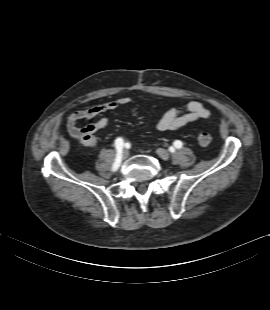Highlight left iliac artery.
<instances>
[{
  "instance_id": "1",
  "label": "left iliac artery",
  "mask_w": 270,
  "mask_h": 310,
  "mask_svg": "<svg viewBox=\"0 0 270 310\" xmlns=\"http://www.w3.org/2000/svg\"><path fill=\"white\" fill-rule=\"evenodd\" d=\"M182 142L181 141H179V140H176L175 142H174V146L176 147V148H181L182 147Z\"/></svg>"
}]
</instances>
